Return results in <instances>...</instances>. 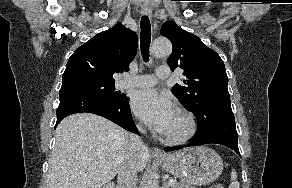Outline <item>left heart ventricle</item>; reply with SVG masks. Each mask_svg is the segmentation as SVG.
Here are the masks:
<instances>
[{
    "label": "left heart ventricle",
    "instance_id": "b2bd125f",
    "mask_svg": "<svg viewBox=\"0 0 292 188\" xmlns=\"http://www.w3.org/2000/svg\"><path fill=\"white\" fill-rule=\"evenodd\" d=\"M187 129V123L183 116L176 112L169 127L165 131V135H178Z\"/></svg>",
    "mask_w": 292,
    "mask_h": 188
}]
</instances>
